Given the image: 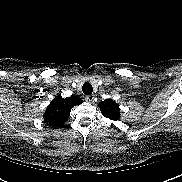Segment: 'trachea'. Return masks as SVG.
I'll return each instance as SVG.
<instances>
[{"label":"trachea","instance_id":"obj_1","mask_svg":"<svg viewBox=\"0 0 182 182\" xmlns=\"http://www.w3.org/2000/svg\"><path fill=\"white\" fill-rule=\"evenodd\" d=\"M82 91L86 95H91L93 92L92 85L89 82L84 83V85L82 86Z\"/></svg>","mask_w":182,"mask_h":182}]
</instances>
